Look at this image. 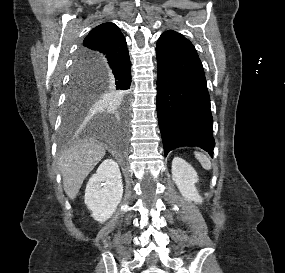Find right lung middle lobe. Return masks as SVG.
Wrapping results in <instances>:
<instances>
[{"label": "right lung middle lobe", "mask_w": 285, "mask_h": 273, "mask_svg": "<svg viewBox=\"0 0 285 273\" xmlns=\"http://www.w3.org/2000/svg\"><path fill=\"white\" fill-rule=\"evenodd\" d=\"M97 79L99 81L96 80L95 74L79 72L74 66L63 116V128L65 130L74 128L102 94L113 95L118 101L125 100L124 92H115L111 87L101 91L100 77Z\"/></svg>", "instance_id": "1"}]
</instances>
